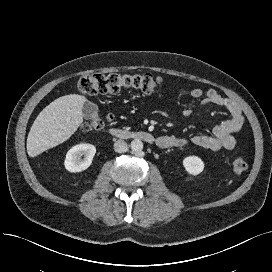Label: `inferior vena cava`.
<instances>
[{
  "label": "inferior vena cava",
  "mask_w": 272,
  "mask_h": 272,
  "mask_svg": "<svg viewBox=\"0 0 272 272\" xmlns=\"http://www.w3.org/2000/svg\"><path fill=\"white\" fill-rule=\"evenodd\" d=\"M114 150L118 153H123L127 151V143L123 140H117L114 143Z\"/></svg>",
  "instance_id": "inferior-vena-cava-1"
}]
</instances>
